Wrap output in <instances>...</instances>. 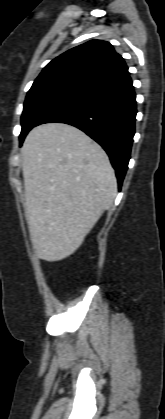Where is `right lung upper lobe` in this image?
I'll list each match as a JSON object with an SVG mask.
<instances>
[{
	"label": "right lung upper lobe",
	"instance_id": "right-lung-upper-lobe-1",
	"mask_svg": "<svg viewBox=\"0 0 165 419\" xmlns=\"http://www.w3.org/2000/svg\"><path fill=\"white\" fill-rule=\"evenodd\" d=\"M128 75L124 59L110 43L91 40L52 60L29 91L58 86L88 94Z\"/></svg>",
	"mask_w": 165,
	"mask_h": 419
}]
</instances>
